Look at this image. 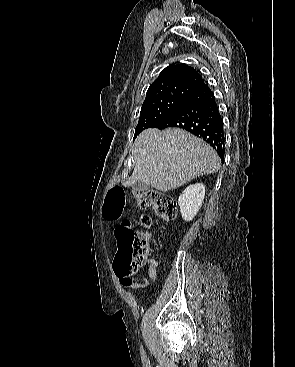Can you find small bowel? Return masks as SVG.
Returning a JSON list of instances; mask_svg holds the SVG:
<instances>
[{
  "instance_id": "c3829d8e",
  "label": "small bowel",
  "mask_w": 295,
  "mask_h": 367,
  "mask_svg": "<svg viewBox=\"0 0 295 367\" xmlns=\"http://www.w3.org/2000/svg\"><path fill=\"white\" fill-rule=\"evenodd\" d=\"M156 268L157 263L155 260L149 261V274L153 280L156 279ZM119 283L123 287H138V286H144L147 282L146 280H135L130 276H120L117 275Z\"/></svg>"
}]
</instances>
